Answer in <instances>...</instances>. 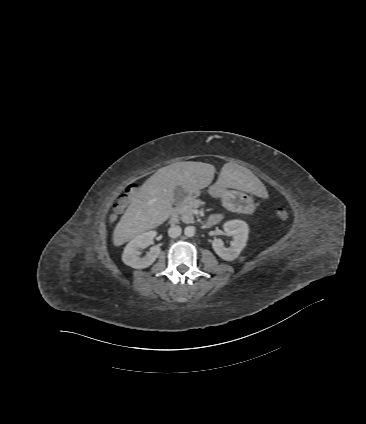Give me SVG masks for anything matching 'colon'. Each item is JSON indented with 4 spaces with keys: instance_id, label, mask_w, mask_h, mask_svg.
Returning a JSON list of instances; mask_svg holds the SVG:
<instances>
[{
    "instance_id": "obj_1",
    "label": "colon",
    "mask_w": 366,
    "mask_h": 424,
    "mask_svg": "<svg viewBox=\"0 0 366 424\" xmlns=\"http://www.w3.org/2000/svg\"><path fill=\"white\" fill-rule=\"evenodd\" d=\"M135 192H136V187L134 185L130 186L126 190V193L118 200L115 206V214H117L118 212H120L126 207L129 199L131 198V196L135 194ZM277 215L281 219H286L288 217V212L284 208H279L277 210Z\"/></svg>"
}]
</instances>
